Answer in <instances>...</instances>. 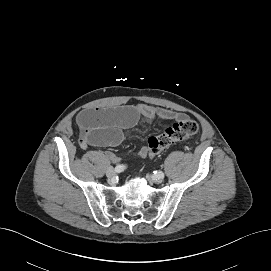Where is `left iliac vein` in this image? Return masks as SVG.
Instances as JSON below:
<instances>
[{"instance_id":"left-iliac-vein-1","label":"left iliac vein","mask_w":271,"mask_h":271,"mask_svg":"<svg viewBox=\"0 0 271 271\" xmlns=\"http://www.w3.org/2000/svg\"><path fill=\"white\" fill-rule=\"evenodd\" d=\"M163 178L164 177L154 176V177H152V180H153V182L159 184L162 182Z\"/></svg>"}]
</instances>
